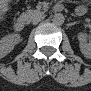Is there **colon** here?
Returning <instances> with one entry per match:
<instances>
[{
    "label": "colon",
    "mask_w": 91,
    "mask_h": 91,
    "mask_svg": "<svg viewBox=\"0 0 91 91\" xmlns=\"http://www.w3.org/2000/svg\"><path fill=\"white\" fill-rule=\"evenodd\" d=\"M9 6H10V4H9L8 1H6V0L1 1V3H0L1 12L2 13H6L8 11V9H9Z\"/></svg>",
    "instance_id": "5ec220e1"
}]
</instances>
